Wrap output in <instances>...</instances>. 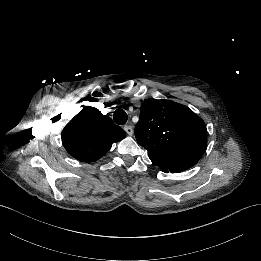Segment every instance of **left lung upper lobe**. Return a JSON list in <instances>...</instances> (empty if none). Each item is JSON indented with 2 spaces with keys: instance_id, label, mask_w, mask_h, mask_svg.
I'll list each match as a JSON object with an SVG mask.
<instances>
[{
  "instance_id": "1",
  "label": "left lung upper lobe",
  "mask_w": 261,
  "mask_h": 261,
  "mask_svg": "<svg viewBox=\"0 0 261 261\" xmlns=\"http://www.w3.org/2000/svg\"><path fill=\"white\" fill-rule=\"evenodd\" d=\"M134 133L150 160L166 173L191 168L207 146L204 121L188 107L165 99L142 104Z\"/></svg>"
}]
</instances>
